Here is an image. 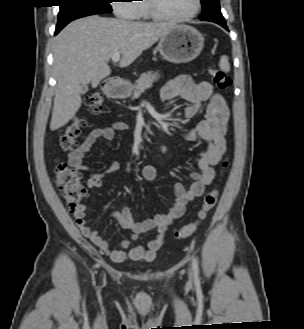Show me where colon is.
Instances as JSON below:
<instances>
[{"mask_svg":"<svg viewBox=\"0 0 304 329\" xmlns=\"http://www.w3.org/2000/svg\"><path fill=\"white\" fill-rule=\"evenodd\" d=\"M209 73L214 84L221 90L229 89L232 80L225 71L218 68H210ZM86 106L91 115H99L102 111V97L99 94H92L86 99ZM86 126V121L82 118L75 119L69 124L59 138V147L64 152L74 151L78 147V138L82 129ZM228 158H226L222 166L228 167ZM55 184L63 193L68 210L72 213L80 209L81 200L86 194V189L81 182V174L64 162H59L55 170ZM219 189L215 188L206 193L203 204L197 214V218L179 228L175 232L177 239H184L191 236L199 228L200 224L206 219L208 213L215 207Z\"/></svg>","mask_w":304,"mask_h":329,"instance_id":"colon-1","label":"colon"}]
</instances>
